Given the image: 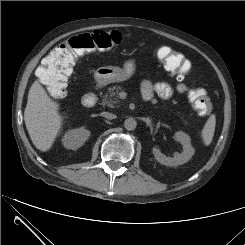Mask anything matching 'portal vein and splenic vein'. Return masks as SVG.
Instances as JSON below:
<instances>
[{
  "label": "portal vein and splenic vein",
  "instance_id": "18ae733b",
  "mask_svg": "<svg viewBox=\"0 0 245 245\" xmlns=\"http://www.w3.org/2000/svg\"><path fill=\"white\" fill-rule=\"evenodd\" d=\"M121 95H122V97H123V98H125V97H126V94H125V93H122Z\"/></svg>",
  "mask_w": 245,
  "mask_h": 245
}]
</instances>
